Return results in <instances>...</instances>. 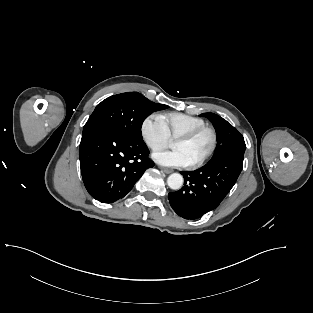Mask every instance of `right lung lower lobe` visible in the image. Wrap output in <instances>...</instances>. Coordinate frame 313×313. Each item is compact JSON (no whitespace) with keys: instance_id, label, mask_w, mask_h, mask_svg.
Returning a JSON list of instances; mask_svg holds the SVG:
<instances>
[{"instance_id":"obj_1","label":"right lung lower lobe","mask_w":313,"mask_h":313,"mask_svg":"<svg viewBox=\"0 0 313 313\" xmlns=\"http://www.w3.org/2000/svg\"><path fill=\"white\" fill-rule=\"evenodd\" d=\"M143 140L99 128L82 134L81 174L89 194L102 203L123 198L146 169L154 166Z\"/></svg>"}]
</instances>
